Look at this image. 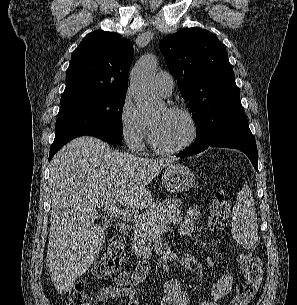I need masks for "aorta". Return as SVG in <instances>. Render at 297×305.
Masks as SVG:
<instances>
[{
    "label": "aorta",
    "instance_id": "obj_1",
    "mask_svg": "<svg viewBox=\"0 0 297 305\" xmlns=\"http://www.w3.org/2000/svg\"><path fill=\"white\" fill-rule=\"evenodd\" d=\"M156 65L154 55H145L138 60L130 74V89L134 102L143 114H155L161 106L153 82Z\"/></svg>",
    "mask_w": 297,
    "mask_h": 305
}]
</instances>
